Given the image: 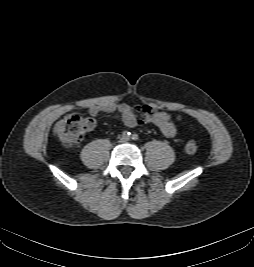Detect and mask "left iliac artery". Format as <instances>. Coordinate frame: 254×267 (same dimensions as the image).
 Returning <instances> with one entry per match:
<instances>
[{
    "instance_id": "obj_1",
    "label": "left iliac artery",
    "mask_w": 254,
    "mask_h": 267,
    "mask_svg": "<svg viewBox=\"0 0 254 267\" xmlns=\"http://www.w3.org/2000/svg\"><path fill=\"white\" fill-rule=\"evenodd\" d=\"M131 138L132 140L136 141L138 140L139 136L137 134H133Z\"/></svg>"
}]
</instances>
